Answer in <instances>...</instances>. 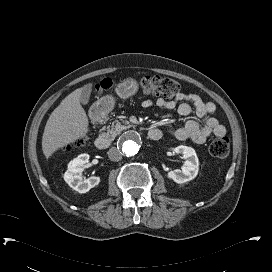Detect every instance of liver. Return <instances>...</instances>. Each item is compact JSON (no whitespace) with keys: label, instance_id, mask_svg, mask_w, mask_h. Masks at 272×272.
Segmentation results:
<instances>
[{"label":"liver","instance_id":"6515ba94","mask_svg":"<svg viewBox=\"0 0 272 272\" xmlns=\"http://www.w3.org/2000/svg\"><path fill=\"white\" fill-rule=\"evenodd\" d=\"M82 88L66 96L47 120L42 136V151L47 159L58 149L83 138L89 131L88 117L80 104Z\"/></svg>","mask_w":272,"mask_h":272}]
</instances>
